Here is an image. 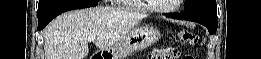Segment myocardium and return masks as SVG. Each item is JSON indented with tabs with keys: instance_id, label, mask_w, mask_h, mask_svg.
<instances>
[{
	"instance_id": "1",
	"label": "myocardium",
	"mask_w": 261,
	"mask_h": 59,
	"mask_svg": "<svg viewBox=\"0 0 261 59\" xmlns=\"http://www.w3.org/2000/svg\"><path fill=\"white\" fill-rule=\"evenodd\" d=\"M182 2H183V0H177L176 4L171 7L155 6L150 1H143V4H144V7L149 11L156 12V13H170V12L176 11L180 7V4Z\"/></svg>"
}]
</instances>
